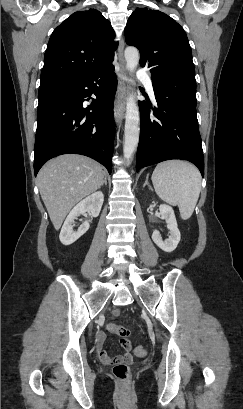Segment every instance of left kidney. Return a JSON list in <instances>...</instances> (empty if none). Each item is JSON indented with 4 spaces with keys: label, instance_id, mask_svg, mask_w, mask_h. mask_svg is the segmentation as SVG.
Returning <instances> with one entry per match:
<instances>
[{
    "label": "left kidney",
    "instance_id": "1",
    "mask_svg": "<svg viewBox=\"0 0 243 409\" xmlns=\"http://www.w3.org/2000/svg\"><path fill=\"white\" fill-rule=\"evenodd\" d=\"M161 219L165 220L167 223V228L169 230V237L166 240H163L158 231H154L152 234L153 242L163 251L172 252L176 249L181 235L178 229L177 221L173 208L167 204H161L159 206Z\"/></svg>",
    "mask_w": 243,
    "mask_h": 409
}]
</instances>
